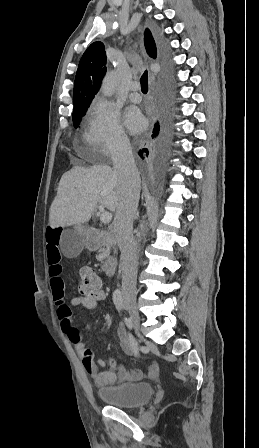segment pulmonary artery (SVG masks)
Listing matches in <instances>:
<instances>
[{"instance_id":"obj_1","label":"pulmonary artery","mask_w":259,"mask_h":448,"mask_svg":"<svg viewBox=\"0 0 259 448\" xmlns=\"http://www.w3.org/2000/svg\"><path fill=\"white\" fill-rule=\"evenodd\" d=\"M139 88V83L136 81H133L130 84V90L132 91L129 95L130 100L134 103H138L142 100L141 95H139L138 93H135V91Z\"/></svg>"}]
</instances>
